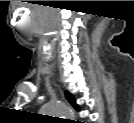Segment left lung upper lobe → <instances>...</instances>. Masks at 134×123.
I'll return each mask as SVG.
<instances>
[{
  "label": "left lung upper lobe",
  "mask_w": 134,
  "mask_h": 123,
  "mask_svg": "<svg viewBox=\"0 0 134 123\" xmlns=\"http://www.w3.org/2000/svg\"><path fill=\"white\" fill-rule=\"evenodd\" d=\"M65 95L68 99V101L71 103V105L76 109L79 110L78 105L76 104L75 98L73 97L72 94H70L68 91L65 92Z\"/></svg>",
  "instance_id": "1"
}]
</instances>
